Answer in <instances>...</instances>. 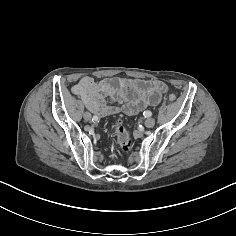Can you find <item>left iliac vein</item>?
I'll return each mask as SVG.
<instances>
[{
  "mask_svg": "<svg viewBox=\"0 0 236 236\" xmlns=\"http://www.w3.org/2000/svg\"><path fill=\"white\" fill-rule=\"evenodd\" d=\"M144 124L146 127L152 128L155 125V120L153 118H148Z\"/></svg>",
  "mask_w": 236,
  "mask_h": 236,
  "instance_id": "left-iliac-vein-1",
  "label": "left iliac vein"
}]
</instances>
